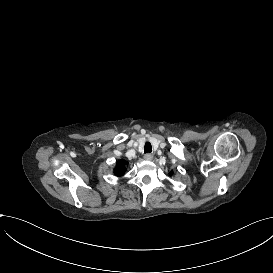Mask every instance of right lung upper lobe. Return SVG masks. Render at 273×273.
<instances>
[{"instance_id": "obj_1", "label": "right lung upper lobe", "mask_w": 273, "mask_h": 273, "mask_svg": "<svg viewBox=\"0 0 273 273\" xmlns=\"http://www.w3.org/2000/svg\"><path fill=\"white\" fill-rule=\"evenodd\" d=\"M126 165H127V162H126V161H124V160H119V161L117 162V165H116L115 169H114L115 175H117V176L123 175L124 172H125V170H126Z\"/></svg>"}]
</instances>
